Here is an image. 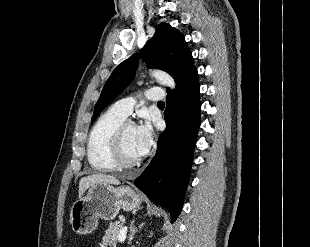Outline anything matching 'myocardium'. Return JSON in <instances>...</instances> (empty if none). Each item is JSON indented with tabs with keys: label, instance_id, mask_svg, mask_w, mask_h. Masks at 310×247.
<instances>
[{
	"label": "myocardium",
	"instance_id": "f54148a6",
	"mask_svg": "<svg viewBox=\"0 0 310 247\" xmlns=\"http://www.w3.org/2000/svg\"><path fill=\"white\" fill-rule=\"evenodd\" d=\"M129 126L134 123L128 120L123 121L115 130L111 144V158L116 168L128 169L138 166L142 162V157L135 160H127L123 150L124 134Z\"/></svg>",
	"mask_w": 310,
	"mask_h": 247
}]
</instances>
